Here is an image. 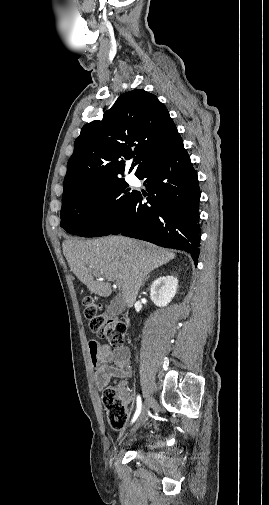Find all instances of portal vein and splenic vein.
<instances>
[{
    "label": "portal vein and splenic vein",
    "mask_w": 269,
    "mask_h": 505,
    "mask_svg": "<svg viewBox=\"0 0 269 505\" xmlns=\"http://www.w3.org/2000/svg\"><path fill=\"white\" fill-rule=\"evenodd\" d=\"M95 275H96V276H98V277L102 280V278L100 277V275H98V274H95ZM117 286H118V285H117Z\"/></svg>",
    "instance_id": "1"
}]
</instances>
